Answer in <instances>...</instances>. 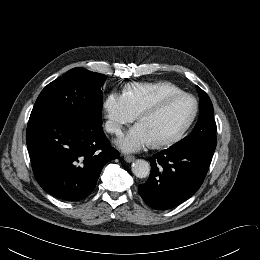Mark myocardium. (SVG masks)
Returning a JSON list of instances; mask_svg holds the SVG:
<instances>
[{"mask_svg": "<svg viewBox=\"0 0 260 260\" xmlns=\"http://www.w3.org/2000/svg\"><path fill=\"white\" fill-rule=\"evenodd\" d=\"M176 97H187V98L191 99V101L193 102L192 111H191L188 119L186 120V122L183 124V126L178 131H176L175 133H173L172 135H170L166 138L154 141L153 144L156 147H163V146L171 145V144L177 142L178 140H180L185 135V133L189 130V128L192 126V124L194 123V121L197 117L198 110H199V105H198L197 99L192 94L184 92V91L168 93V94H165V95L161 96L160 98H158L150 106L144 108L138 114L137 118H138V121L140 122L144 117L150 116V115L158 112L160 110V108L164 105V103H166L170 99H173Z\"/></svg>", "mask_w": 260, "mask_h": 260, "instance_id": "f54148a6", "label": "myocardium"}]
</instances>
